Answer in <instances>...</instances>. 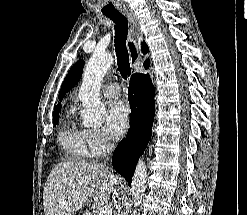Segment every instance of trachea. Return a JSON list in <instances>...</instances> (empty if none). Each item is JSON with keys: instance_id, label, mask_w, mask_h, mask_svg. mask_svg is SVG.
Listing matches in <instances>:
<instances>
[{"instance_id": "obj_1", "label": "trachea", "mask_w": 247, "mask_h": 215, "mask_svg": "<svg viewBox=\"0 0 247 215\" xmlns=\"http://www.w3.org/2000/svg\"><path fill=\"white\" fill-rule=\"evenodd\" d=\"M115 23V52L117 56L118 70L121 76L127 80L131 74L129 55L126 47L128 34V20L119 11L105 14Z\"/></svg>"}]
</instances>
